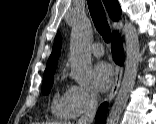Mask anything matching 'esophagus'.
<instances>
[{"mask_svg": "<svg viewBox=\"0 0 156 124\" xmlns=\"http://www.w3.org/2000/svg\"><path fill=\"white\" fill-rule=\"evenodd\" d=\"M123 74V68L121 66L116 65L115 67V80L112 86V89L108 95L107 101H112V99L115 97L116 93L118 92V89L120 87L121 79Z\"/></svg>", "mask_w": 156, "mask_h": 124, "instance_id": "obj_1", "label": "esophagus"}]
</instances>
